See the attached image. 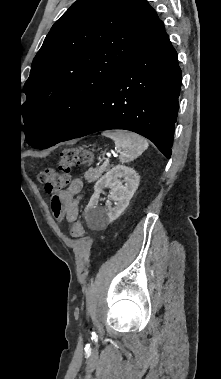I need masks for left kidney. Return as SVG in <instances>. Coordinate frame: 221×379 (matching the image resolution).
Masks as SVG:
<instances>
[{"instance_id":"1","label":"left kidney","mask_w":221,"mask_h":379,"mask_svg":"<svg viewBox=\"0 0 221 379\" xmlns=\"http://www.w3.org/2000/svg\"><path fill=\"white\" fill-rule=\"evenodd\" d=\"M124 179L125 184L120 180ZM140 182L138 173L129 167L117 165L108 171L94 186L88 205L85 208V219L90 228H104L109 223L117 219L129 205L131 198L137 190ZM110 187L112 190L109 199L114 201L106 202V207H98V199L103 188Z\"/></svg>"}]
</instances>
